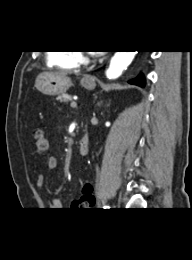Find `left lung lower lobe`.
<instances>
[{
	"label": "left lung lower lobe",
	"mask_w": 192,
	"mask_h": 260,
	"mask_svg": "<svg viewBox=\"0 0 192 260\" xmlns=\"http://www.w3.org/2000/svg\"><path fill=\"white\" fill-rule=\"evenodd\" d=\"M130 83L139 85V86H141V87H144V85H145V79L143 78L142 75H139L137 78H135V79H133L132 81H130Z\"/></svg>",
	"instance_id": "left-lung-lower-lobe-1"
}]
</instances>
